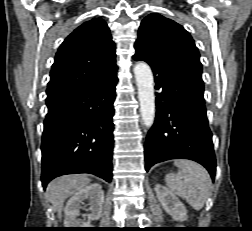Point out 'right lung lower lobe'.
Returning a JSON list of instances; mask_svg holds the SVG:
<instances>
[{
  "label": "right lung lower lobe",
  "instance_id": "1",
  "mask_svg": "<svg viewBox=\"0 0 252 231\" xmlns=\"http://www.w3.org/2000/svg\"><path fill=\"white\" fill-rule=\"evenodd\" d=\"M117 81L115 76L85 86L48 106L41 143L44 189L65 174L90 173L111 181Z\"/></svg>",
  "mask_w": 252,
  "mask_h": 231
}]
</instances>
